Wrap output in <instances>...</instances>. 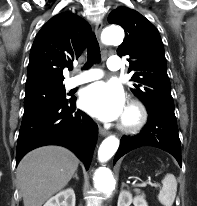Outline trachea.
I'll use <instances>...</instances> for the list:
<instances>
[{
    "label": "trachea",
    "mask_w": 197,
    "mask_h": 206,
    "mask_svg": "<svg viewBox=\"0 0 197 206\" xmlns=\"http://www.w3.org/2000/svg\"><path fill=\"white\" fill-rule=\"evenodd\" d=\"M87 64L85 68H89L91 65L100 62L101 54H100V47L97 41V38L94 34L90 35L88 41V48H87Z\"/></svg>",
    "instance_id": "3493384b"
}]
</instances>
